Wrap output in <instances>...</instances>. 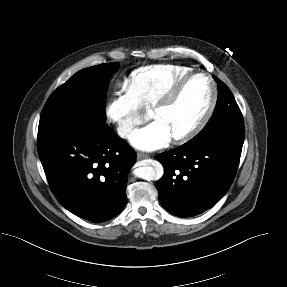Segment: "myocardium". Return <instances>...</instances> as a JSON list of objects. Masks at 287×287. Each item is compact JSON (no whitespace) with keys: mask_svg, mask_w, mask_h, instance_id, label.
<instances>
[{"mask_svg":"<svg viewBox=\"0 0 287 287\" xmlns=\"http://www.w3.org/2000/svg\"><path fill=\"white\" fill-rule=\"evenodd\" d=\"M204 77L206 78L211 86V98L210 102L203 113V115L200 117V119L189 129L186 131L173 135L172 139L176 142H186L196 136L208 123L210 118L212 117L214 110L217 105L218 101V88L216 85V82L212 78L211 75L205 72H190L186 74L185 76L181 77L179 80H177L170 88L169 90L150 108V113L155 114L170 105L175 101L183 87L193 78L195 77Z\"/></svg>","mask_w":287,"mask_h":287,"instance_id":"f54148a6","label":"myocardium"}]
</instances>
